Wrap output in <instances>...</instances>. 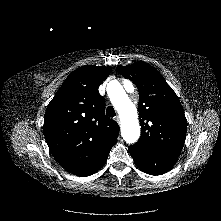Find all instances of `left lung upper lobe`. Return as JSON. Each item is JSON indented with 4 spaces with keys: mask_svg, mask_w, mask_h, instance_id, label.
<instances>
[{
    "mask_svg": "<svg viewBox=\"0 0 221 221\" xmlns=\"http://www.w3.org/2000/svg\"><path fill=\"white\" fill-rule=\"evenodd\" d=\"M117 70L139 90L141 137L137 143L178 158L185 143L187 120L175 92L146 62L118 66Z\"/></svg>",
    "mask_w": 221,
    "mask_h": 221,
    "instance_id": "left-lung-upper-lobe-1",
    "label": "left lung upper lobe"
}]
</instances>
